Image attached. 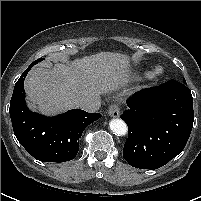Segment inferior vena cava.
<instances>
[{
  "mask_svg": "<svg viewBox=\"0 0 201 201\" xmlns=\"http://www.w3.org/2000/svg\"><path fill=\"white\" fill-rule=\"evenodd\" d=\"M76 107L88 112H94L99 109L101 100L97 96H82L76 99Z\"/></svg>",
  "mask_w": 201,
  "mask_h": 201,
  "instance_id": "obj_1",
  "label": "inferior vena cava"
}]
</instances>
